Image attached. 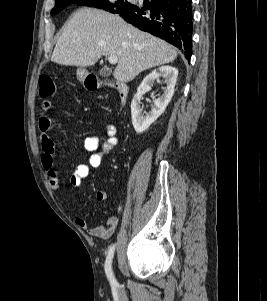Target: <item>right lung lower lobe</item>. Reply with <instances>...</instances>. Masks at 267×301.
I'll use <instances>...</instances> for the list:
<instances>
[{"mask_svg":"<svg viewBox=\"0 0 267 301\" xmlns=\"http://www.w3.org/2000/svg\"><path fill=\"white\" fill-rule=\"evenodd\" d=\"M125 21L192 54L193 17L191 0H145L143 6L118 13Z\"/></svg>","mask_w":267,"mask_h":301,"instance_id":"right-lung-lower-lobe-1","label":"right lung lower lobe"}]
</instances>
